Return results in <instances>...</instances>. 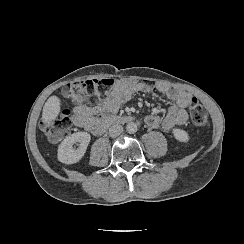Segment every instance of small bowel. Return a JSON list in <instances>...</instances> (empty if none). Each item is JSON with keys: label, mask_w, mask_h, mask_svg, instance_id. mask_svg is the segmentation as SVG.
<instances>
[{"label": "small bowel", "mask_w": 244, "mask_h": 244, "mask_svg": "<svg viewBox=\"0 0 244 244\" xmlns=\"http://www.w3.org/2000/svg\"><path fill=\"white\" fill-rule=\"evenodd\" d=\"M158 87L162 95L172 101V105L162 119L158 115L149 114L145 117V122L152 128L162 126L165 131L173 132L177 126L186 123L188 108L196 98L190 92L179 87L166 84H161ZM140 91H147L143 82L119 81L112 86L108 95L96 105L80 102L74 106V124L91 134L101 135L104 133L102 128L106 125L107 119L112 117L123 103Z\"/></svg>", "instance_id": "small-bowel-1"}]
</instances>
